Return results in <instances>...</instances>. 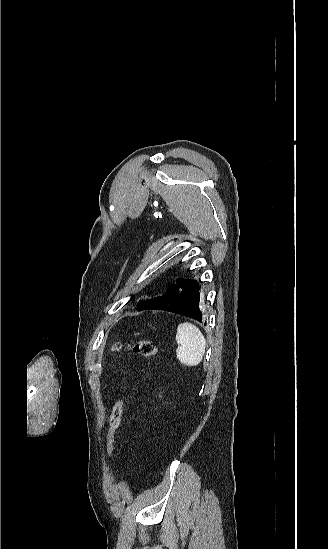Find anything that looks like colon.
I'll use <instances>...</instances> for the list:
<instances>
[{"mask_svg":"<svg viewBox=\"0 0 328 549\" xmlns=\"http://www.w3.org/2000/svg\"><path fill=\"white\" fill-rule=\"evenodd\" d=\"M128 348L148 359H155L159 353L158 347L153 342L148 340H138L135 343L129 345ZM114 349H121V345H115ZM124 405V400L120 399L114 404L112 408L107 436V450L110 457H113L114 455L116 431L121 422Z\"/></svg>","mask_w":328,"mask_h":549,"instance_id":"obj_1","label":"colon"}]
</instances>
